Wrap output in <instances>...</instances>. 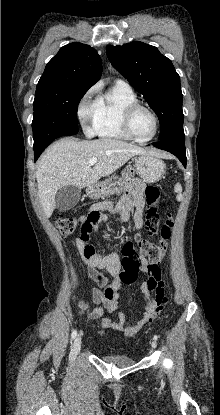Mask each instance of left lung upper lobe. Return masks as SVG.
I'll use <instances>...</instances> for the list:
<instances>
[{
	"label": "left lung upper lobe",
	"mask_w": 220,
	"mask_h": 415,
	"mask_svg": "<svg viewBox=\"0 0 220 415\" xmlns=\"http://www.w3.org/2000/svg\"><path fill=\"white\" fill-rule=\"evenodd\" d=\"M107 56L157 114L163 140L182 133L184 115L180 77L170 59L143 42L108 46Z\"/></svg>",
	"instance_id": "5c2ea615"
}]
</instances>
